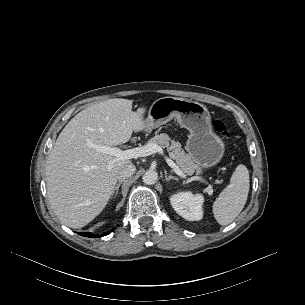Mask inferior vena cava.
Segmentation results:
<instances>
[{
  "label": "inferior vena cava",
  "mask_w": 305,
  "mask_h": 305,
  "mask_svg": "<svg viewBox=\"0 0 305 305\" xmlns=\"http://www.w3.org/2000/svg\"><path fill=\"white\" fill-rule=\"evenodd\" d=\"M135 171H136L135 165L132 163H127L118 169L116 178L119 181H124L130 178L135 173Z\"/></svg>",
  "instance_id": "602c4592"
}]
</instances>
